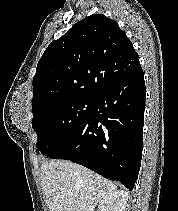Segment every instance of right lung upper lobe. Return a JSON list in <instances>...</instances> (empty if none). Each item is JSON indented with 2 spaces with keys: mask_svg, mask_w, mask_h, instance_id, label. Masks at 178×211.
<instances>
[{
  "mask_svg": "<svg viewBox=\"0 0 178 211\" xmlns=\"http://www.w3.org/2000/svg\"><path fill=\"white\" fill-rule=\"evenodd\" d=\"M139 69V56L118 23L88 16L50 43L39 60L33 114L58 101L94 99Z\"/></svg>",
  "mask_w": 178,
  "mask_h": 211,
  "instance_id": "obj_1",
  "label": "right lung upper lobe"
}]
</instances>
